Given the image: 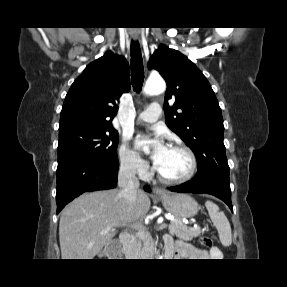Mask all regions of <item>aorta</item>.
Here are the masks:
<instances>
[{"mask_svg":"<svg viewBox=\"0 0 287 287\" xmlns=\"http://www.w3.org/2000/svg\"><path fill=\"white\" fill-rule=\"evenodd\" d=\"M166 89L165 82L161 78H149L144 87V93L155 95L163 93Z\"/></svg>","mask_w":287,"mask_h":287,"instance_id":"1","label":"aorta"}]
</instances>
